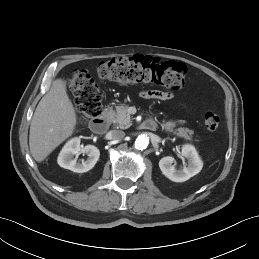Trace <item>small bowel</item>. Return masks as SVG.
<instances>
[{
    "instance_id": "c3829d8e",
    "label": "small bowel",
    "mask_w": 259,
    "mask_h": 259,
    "mask_svg": "<svg viewBox=\"0 0 259 259\" xmlns=\"http://www.w3.org/2000/svg\"><path fill=\"white\" fill-rule=\"evenodd\" d=\"M141 96L144 99L168 100L173 97V94L171 92L166 91L145 90L141 92Z\"/></svg>"
}]
</instances>
